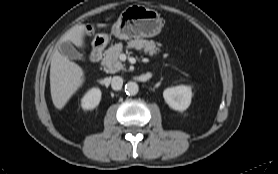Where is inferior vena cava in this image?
I'll use <instances>...</instances> for the list:
<instances>
[{
	"label": "inferior vena cava",
	"instance_id": "1",
	"mask_svg": "<svg viewBox=\"0 0 278 174\" xmlns=\"http://www.w3.org/2000/svg\"><path fill=\"white\" fill-rule=\"evenodd\" d=\"M111 86L114 90H120L123 86V79L120 76H114L111 80Z\"/></svg>",
	"mask_w": 278,
	"mask_h": 174
}]
</instances>
